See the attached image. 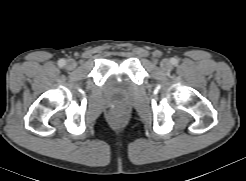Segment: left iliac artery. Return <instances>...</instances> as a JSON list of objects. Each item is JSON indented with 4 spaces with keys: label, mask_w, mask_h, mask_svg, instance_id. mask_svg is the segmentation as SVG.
I'll list each match as a JSON object with an SVG mask.
<instances>
[{
    "label": "left iliac artery",
    "mask_w": 246,
    "mask_h": 181,
    "mask_svg": "<svg viewBox=\"0 0 246 181\" xmlns=\"http://www.w3.org/2000/svg\"><path fill=\"white\" fill-rule=\"evenodd\" d=\"M177 62H178L177 59H175V58H172V59H171V63H172V64H176Z\"/></svg>",
    "instance_id": "44dca946"
}]
</instances>
